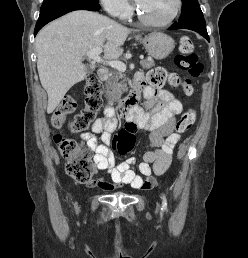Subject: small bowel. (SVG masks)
Returning <instances> with one entry per match:
<instances>
[{
	"mask_svg": "<svg viewBox=\"0 0 248 258\" xmlns=\"http://www.w3.org/2000/svg\"><path fill=\"white\" fill-rule=\"evenodd\" d=\"M137 76L141 78V89L144 91L148 111L138 107L126 120L124 127L133 137L138 130L148 132V143L155 148L144 153L142 162L138 164V172L144 176H150L152 172L162 175L170 166L173 149L180 140V135L174 131V127L176 117L182 112L183 107L170 91L162 87L145 85L144 76ZM116 127L115 113L112 108L107 107L104 116L93 122L91 132L81 135L87 147L94 152L95 168L107 171L112 180V183L97 180L92 186L104 191H111L123 185H130L135 190H155L158 185L157 179L142 178L135 168L136 161L133 157L114 164V154L109 142ZM96 134H100V139Z\"/></svg>",
	"mask_w": 248,
	"mask_h": 258,
	"instance_id": "1",
	"label": "small bowel"
}]
</instances>
